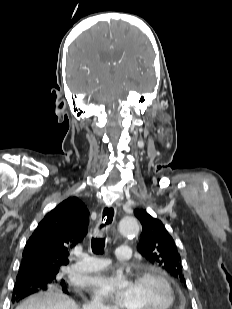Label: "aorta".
<instances>
[{
    "label": "aorta",
    "mask_w": 232,
    "mask_h": 309,
    "mask_svg": "<svg viewBox=\"0 0 232 309\" xmlns=\"http://www.w3.org/2000/svg\"><path fill=\"white\" fill-rule=\"evenodd\" d=\"M119 229L124 236H136L139 233V224L136 218L125 216L119 221Z\"/></svg>",
    "instance_id": "762f6f07"
}]
</instances>
